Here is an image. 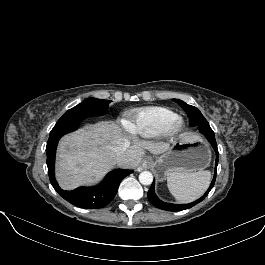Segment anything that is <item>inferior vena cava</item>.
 <instances>
[{
  "label": "inferior vena cava",
  "instance_id": "1",
  "mask_svg": "<svg viewBox=\"0 0 265 265\" xmlns=\"http://www.w3.org/2000/svg\"><path fill=\"white\" fill-rule=\"evenodd\" d=\"M129 147L130 143L127 140L120 141L116 145L110 147L117 163L121 164L126 161V152L128 151Z\"/></svg>",
  "mask_w": 265,
  "mask_h": 265
}]
</instances>
